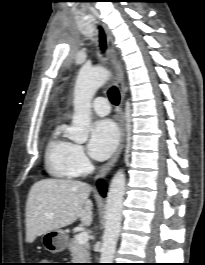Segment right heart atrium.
<instances>
[{"mask_svg":"<svg viewBox=\"0 0 205 265\" xmlns=\"http://www.w3.org/2000/svg\"><path fill=\"white\" fill-rule=\"evenodd\" d=\"M71 163L78 175L84 174L89 170L90 160L88 159L83 146L74 144L71 152Z\"/></svg>","mask_w":205,"mask_h":265,"instance_id":"right-heart-atrium-1","label":"right heart atrium"}]
</instances>
